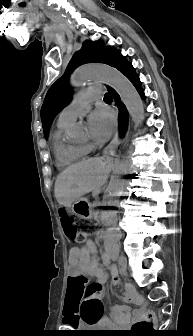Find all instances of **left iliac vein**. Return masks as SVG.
Returning a JSON list of instances; mask_svg holds the SVG:
<instances>
[{
  "label": "left iliac vein",
  "instance_id": "left-iliac-vein-1",
  "mask_svg": "<svg viewBox=\"0 0 193 336\" xmlns=\"http://www.w3.org/2000/svg\"><path fill=\"white\" fill-rule=\"evenodd\" d=\"M118 262H119V265L121 266L122 272L126 274L127 267H128L126 258L124 256H120Z\"/></svg>",
  "mask_w": 193,
  "mask_h": 336
}]
</instances>
